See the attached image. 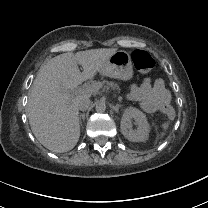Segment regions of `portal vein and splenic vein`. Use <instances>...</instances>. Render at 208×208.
<instances>
[{
	"mask_svg": "<svg viewBox=\"0 0 208 208\" xmlns=\"http://www.w3.org/2000/svg\"><path fill=\"white\" fill-rule=\"evenodd\" d=\"M105 86L107 88H110L111 90H114L116 95H119V87L117 85H114L113 82H110V83H107V84L105 82H101V83H92L90 85H82L81 88H79V89L76 88V90L78 92H84V93H87V94H91V93L97 91L100 87L104 88Z\"/></svg>",
	"mask_w": 208,
	"mask_h": 208,
	"instance_id": "18ae733b",
	"label": "portal vein and splenic vein"
}]
</instances>
